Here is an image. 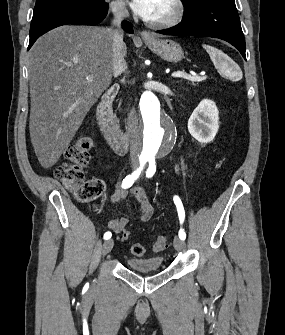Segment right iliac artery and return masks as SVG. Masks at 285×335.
<instances>
[{"label": "right iliac artery", "instance_id": "1", "mask_svg": "<svg viewBox=\"0 0 285 335\" xmlns=\"http://www.w3.org/2000/svg\"><path fill=\"white\" fill-rule=\"evenodd\" d=\"M144 164H145V162L142 163L140 165V167L137 168V170L134 171L131 175H128V176H126L125 179H123V182H122V188L123 189L130 188L133 185L134 181L140 176L141 171L143 170ZM111 236H112L111 232L108 231L104 234V239L105 240L110 239Z\"/></svg>", "mask_w": 285, "mask_h": 335}]
</instances>
